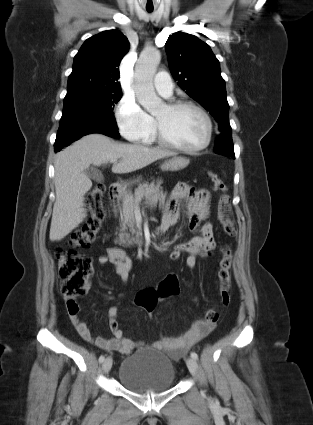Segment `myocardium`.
Masks as SVG:
<instances>
[{
    "mask_svg": "<svg viewBox=\"0 0 313 425\" xmlns=\"http://www.w3.org/2000/svg\"><path fill=\"white\" fill-rule=\"evenodd\" d=\"M166 107L170 111H177V110H180V109H193V110L197 111L204 118L207 131H206L205 140L203 141L202 144H200L199 146L194 147V148H187V147L179 145V144L175 143L174 141H172L171 139H169L165 135V133H164L161 125L159 124L158 120L155 118V121H154L155 138L161 145H163L167 148L179 151V152L187 153V154L198 153V152L206 149L209 146V144L211 143V140H212V136H213V122H212L210 115L207 113V111L204 108H202L198 104L190 102V101L170 102L166 105Z\"/></svg>",
    "mask_w": 313,
    "mask_h": 425,
    "instance_id": "obj_1",
    "label": "myocardium"
}]
</instances>
